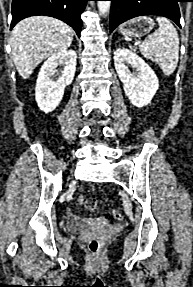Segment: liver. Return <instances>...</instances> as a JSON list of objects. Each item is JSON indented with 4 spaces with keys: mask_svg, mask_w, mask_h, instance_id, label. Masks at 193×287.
Masks as SVG:
<instances>
[{
    "mask_svg": "<svg viewBox=\"0 0 193 287\" xmlns=\"http://www.w3.org/2000/svg\"><path fill=\"white\" fill-rule=\"evenodd\" d=\"M73 41V30L66 23L46 16L20 21L12 30L10 44L16 69L23 79L46 58L65 51Z\"/></svg>",
    "mask_w": 193,
    "mask_h": 287,
    "instance_id": "obj_1",
    "label": "liver"
}]
</instances>
